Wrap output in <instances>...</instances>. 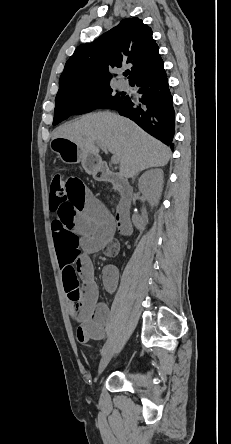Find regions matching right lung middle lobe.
<instances>
[{"label": "right lung middle lobe", "instance_id": "dd1d6c3e", "mask_svg": "<svg viewBox=\"0 0 231 444\" xmlns=\"http://www.w3.org/2000/svg\"><path fill=\"white\" fill-rule=\"evenodd\" d=\"M123 93H114L110 85L68 91L56 95L53 124L56 125L75 113H82V104L90 99H99L101 106L111 108L124 98Z\"/></svg>", "mask_w": 231, "mask_h": 444}]
</instances>
